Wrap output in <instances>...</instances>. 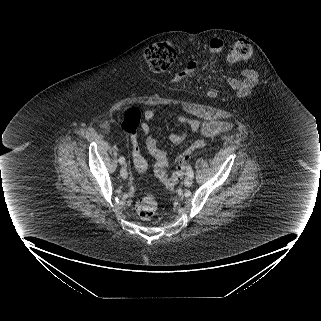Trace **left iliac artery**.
I'll use <instances>...</instances> for the list:
<instances>
[{
	"instance_id": "left-iliac-artery-1",
	"label": "left iliac artery",
	"mask_w": 321,
	"mask_h": 321,
	"mask_svg": "<svg viewBox=\"0 0 321 321\" xmlns=\"http://www.w3.org/2000/svg\"><path fill=\"white\" fill-rule=\"evenodd\" d=\"M187 175L191 176V177L194 176L193 170H192V168L190 166H188V168H187Z\"/></svg>"
}]
</instances>
